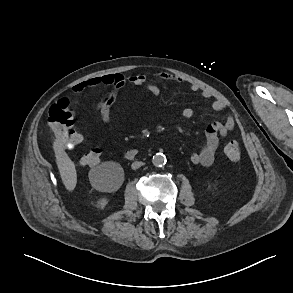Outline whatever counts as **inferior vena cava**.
I'll return each mask as SVG.
<instances>
[{
  "instance_id": "inferior-vena-cava-1",
  "label": "inferior vena cava",
  "mask_w": 293,
  "mask_h": 293,
  "mask_svg": "<svg viewBox=\"0 0 293 293\" xmlns=\"http://www.w3.org/2000/svg\"><path fill=\"white\" fill-rule=\"evenodd\" d=\"M143 164L144 163L141 162V161H135V162L132 163L131 168L133 170H136V169L140 168Z\"/></svg>"
}]
</instances>
